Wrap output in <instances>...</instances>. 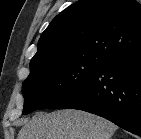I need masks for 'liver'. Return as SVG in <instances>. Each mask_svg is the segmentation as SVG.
<instances>
[{
    "label": "liver",
    "instance_id": "liver-1",
    "mask_svg": "<svg viewBox=\"0 0 141 139\" xmlns=\"http://www.w3.org/2000/svg\"><path fill=\"white\" fill-rule=\"evenodd\" d=\"M117 126L81 110L37 113L24 121L17 139H111Z\"/></svg>",
    "mask_w": 141,
    "mask_h": 139
}]
</instances>
